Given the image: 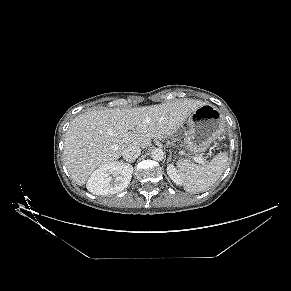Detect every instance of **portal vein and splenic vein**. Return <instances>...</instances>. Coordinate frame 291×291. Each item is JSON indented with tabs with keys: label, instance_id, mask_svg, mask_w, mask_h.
Segmentation results:
<instances>
[{
	"label": "portal vein and splenic vein",
	"instance_id": "obj_1",
	"mask_svg": "<svg viewBox=\"0 0 291 291\" xmlns=\"http://www.w3.org/2000/svg\"><path fill=\"white\" fill-rule=\"evenodd\" d=\"M193 160L195 162H197V163H200V164H203L204 163L203 159L201 157H199V156H194L193 157Z\"/></svg>",
	"mask_w": 291,
	"mask_h": 291
}]
</instances>
